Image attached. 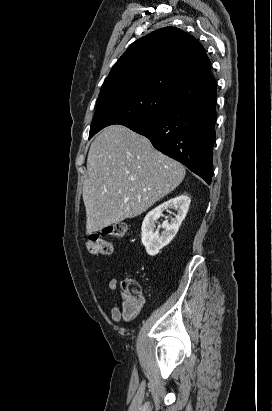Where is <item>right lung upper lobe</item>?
<instances>
[{"mask_svg":"<svg viewBox=\"0 0 272 411\" xmlns=\"http://www.w3.org/2000/svg\"><path fill=\"white\" fill-rule=\"evenodd\" d=\"M210 60L191 35L174 27L158 29L132 43L112 67L101 92L146 88L177 102L216 90Z\"/></svg>","mask_w":272,"mask_h":411,"instance_id":"obj_1","label":"right lung upper lobe"}]
</instances>
